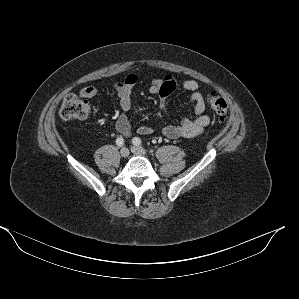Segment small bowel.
Returning a JSON list of instances; mask_svg holds the SVG:
<instances>
[{"mask_svg": "<svg viewBox=\"0 0 299 299\" xmlns=\"http://www.w3.org/2000/svg\"><path fill=\"white\" fill-rule=\"evenodd\" d=\"M138 82L135 74H128L123 80L111 84L110 88L115 91L119 97L121 115L116 120V129L119 134L127 138L132 133V125L128 118V113L132 108L131 93ZM182 88L190 92V104L192 106V115L184 116L176 123H165L162 126V134L168 138H190L199 135L209 125L211 116L205 112L206 104L200 85L195 80H185ZM177 89V83L171 76L163 78H154L149 85V91L158 94L161 99V110L166 119L170 120L172 115L169 107V97ZM98 88L86 86L80 90V96L84 99H90L96 96ZM138 133L148 135L152 133L151 127L141 125L137 129Z\"/></svg>", "mask_w": 299, "mask_h": 299, "instance_id": "obj_1", "label": "small bowel"}]
</instances>
